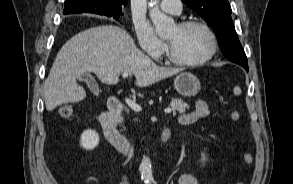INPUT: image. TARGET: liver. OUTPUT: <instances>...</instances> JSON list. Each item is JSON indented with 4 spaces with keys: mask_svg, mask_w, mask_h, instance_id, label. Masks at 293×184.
Here are the masks:
<instances>
[{
    "mask_svg": "<svg viewBox=\"0 0 293 184\" xmlns=\"http://www.w3.org/2000/svg\"><path fill=\"white\" fill-rule=\"evenodd\" d=\"M181 71L157 66L118 26L92 27L74 35L58 52L43 85L45 106L53 111L62 104L85 99L86 92L76 80L88 72L108 85L117 84L120 74L132 73L136 85L146 87Z\"/></svg>",
    "mask_w": 293,
    "mask_h": 184,
    "instance_id": "6515ba94",
    "label": "liver"
}]
</instances>
